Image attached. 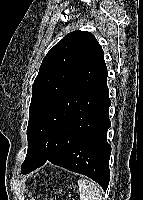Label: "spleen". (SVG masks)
<instances>
[{
    "label": "spleen",
    "mask_w": 143,
    "mask_h": 200,
    "mask_svg": "<svg viewBox=\"0 0 143 200\" xmlns=\"http://www.w3.org/2000/svg\"><path fill=\"white\" fill-rule=\"evenodd\" d=\"M80 200H103L101 189L92 181L80 179L78 181Z\"/></svg>",
    "instance_id": "obj_1"
}]
</instances>
